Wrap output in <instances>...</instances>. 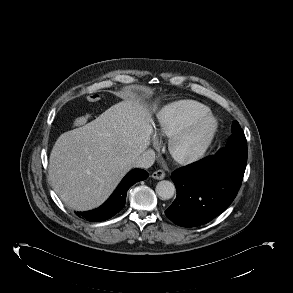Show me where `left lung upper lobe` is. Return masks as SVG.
I'll list each match as a JSON object with an SVG mask.
<instances>
[{
  "label": "left lung upper lobe",
  "instance_id": "obj_1",
  "mask_svg": "<svg viewBox=\"0 0 293 293\" xmlns=\"http://www.w3.org/2000/svg\"><path fill=\"white\" fill-rule=\"evenodd\" d=\"M232 136L230 137L229 141L227 142L226 149L237 148L240 145L246 144V138L244 135L243 130L241 129L240 125L237 121L233 122L232 125Z\"/></svg>",
  "mask_w": 293,
  "mask_h": 293
}]
</instances>
